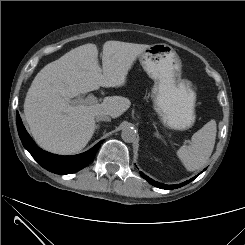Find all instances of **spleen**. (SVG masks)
<instances>
[{"label":"spleen","mask_w":245,"mask_h":245,"mask_svg":"<svg viewBox=\"0 0 245 245\" xmlns=\"http://www.w3.org/2000/svg\"><path fill=\"white\" fill-rule=\"evenodd\" d=\"M217 132L215 120L207 122L193 134L190 145H183L177 156L188 171H196L204 167L212 154Z\"/></svg>","instance_id":"3e777b00"}]
</instances>
